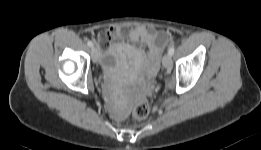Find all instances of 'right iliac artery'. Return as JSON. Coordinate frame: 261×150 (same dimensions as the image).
<instances>
[{"instance_id": "82829eb1", "label": "right iliac artery", "mask_w": 261, "mask_h": 150, "mask_svg": "<svg viewBox=\"0 0 261 150\" xmlns=\"http://www.w3.org/2000/svg\"><path fill=\"white\" fill-rule=\"evenodd\" d=\"M87 45H88L89 47H92V46H93L92 41H88V42H87Z\"/></svg>"}]
</instances>
